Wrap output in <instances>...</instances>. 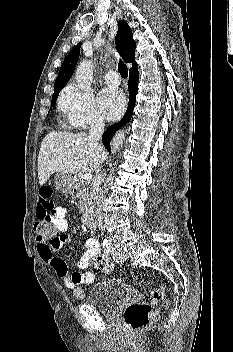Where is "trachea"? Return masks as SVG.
Masks as SVG:
<instances>
[{"label": "trachea", "mask_w": 233, "mask_h": 352, "mask_svg": "<svg viewBox=\"0 0 233 352\" xmlns=\"http://www.w3.org/2000/svg\"><path fill=\"white\" fill-rule=\"evenodd\" d=\"M118 70L123 78H126L128 76V68L121 59L118 63Z\"/></svg>", "instance_id": "3493384b"}]
</instances>
